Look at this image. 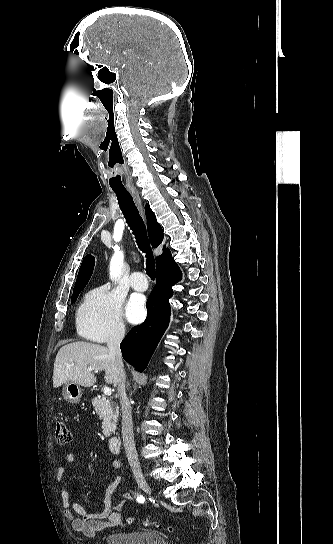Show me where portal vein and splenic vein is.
Instances as JSON below:
<instances>
[{
  "label": "portal vein and splenic vein",
  "instance_id": "obj_1",
  "mask_svg": "<svg viewBox=\"0 0 333 544\" xmlns=\"http://www.w3.org/2000/svg\"><path fill=\"white\" fill-rule=\"evenodd\" d=\"M73 365H74V364H72V366H73ZM88 371L91 372V371H92V368H89ZM103 392H104L105 395H108V396H110V395L112 394L111 388H109V387H107V386L104 387Z\"/></svg>",
  "mask_w": 333,
  "mask_h": 544
}]
</instances>
